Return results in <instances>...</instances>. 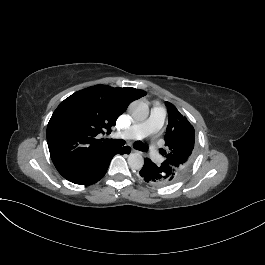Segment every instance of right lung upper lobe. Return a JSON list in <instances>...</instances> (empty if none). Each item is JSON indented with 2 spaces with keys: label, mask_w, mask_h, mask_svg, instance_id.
I'll return each instance as SVG.
<instances>
[{
  "label": "right lung upper lobe",
  "mask_w": 265,
  "mask_h": 265,
  "mask_svg": "<svg viewBox=\"0 0 265 265\" xmlns=\"http://www.w3.org/2000/svg\"><path fill=\"white\" fill-rule=\"evenodd\" d=\"M147 93L131 87L96 85L60 103L47 126L50 156L67 180L84 178L113 147L96 139L108 132L128 105Z\"/></svg>",
  "instance_id": "1"
}]
</instances>
